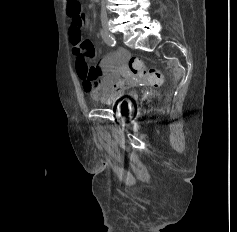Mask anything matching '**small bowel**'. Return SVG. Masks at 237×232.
I'll list each match as a JSON object with an SVG mask.
<instances>
[{
    "label": "small bowel",
    "mask_w": 237,
    "mask_h": 232,
    "mask_svg": "<svg viewBox=\"0 0 237 232\" xmlns=\"http://www.w3.org/2000/svg\"><path fill=\"white\" fill-rule=\"evenodd\" d=\"M86 24L87 18L82 13V21L72 20L69 27V40L76 58V71L84 91L96 101L111 104L124 97L134 86L131 79L122 78L128 75V55L120 50L103 57L98 68L91 65L90 62L95 57V47L84 37L83 28Z\"/></svg>",
    "instance_id": "small-bowel-1"
}]
</instances>
